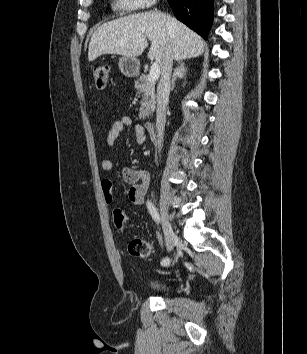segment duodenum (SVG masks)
I'll return each mask as SVG.
<instances>
[{
  "instance_id": "duodenum-1",
  "label": "duodenum",
  "mask_w": 307,
  "mask_h": 354,
  "mask_svg": "<svg viewBox=\"0 0 307 354\" xmlns=\"http://www.w3.org/2000/svg\"><path fill=\"white\" fill-rule=\"evenodd\" d=\"M144 128L146 131L149 133L150 137L155 140L156 139V133H155V125L151 121H147L144 123Z\"/></svg>"
}]
</instances>
